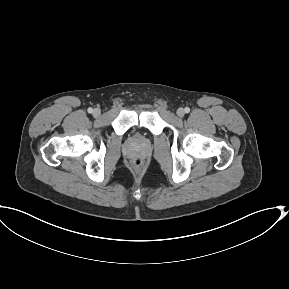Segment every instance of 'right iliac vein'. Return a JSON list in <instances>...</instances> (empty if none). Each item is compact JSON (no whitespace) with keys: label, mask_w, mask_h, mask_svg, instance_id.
Returning <instances> with one entry per match:
<instances>
[{"label":"right iliac vein","mask_w":289,"mask_h":289,"mask_svg":"<svg viewBox=\"0 0 289 289\" xmlns=\"http://www.w3.org/2000/svg\"><path fill=\"white\" fill-rule=\"evenodd\" d=\"M100 114H101L100 109H98V108L94 109V111H93V115H94L95 117L100 116Z\"/></svg>","instance_id":"obj_1"}]
</instances>
